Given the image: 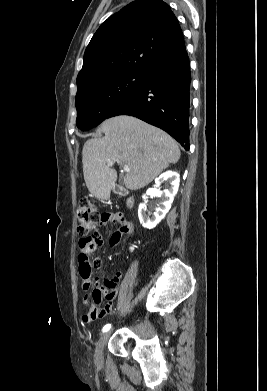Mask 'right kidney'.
I'll list each match as a JSON object with an SVG mask.
<instances>
[{
  "label": "right kidney",
  "instance_id": "1",
  "mask_svg": "<svg viewBox=\"0 0 267 391\" xmlns=\"http://www.w3.org/2000/svg\"><path fill=\"white\" fill-rule=\"evenodd\" d=\"M169 184L166 189L160 190L162 183ZM180 176L177 172L167 171L155 179L156 187L149 188L143 195L144 203H140L138 209L139 221L144 228L152 229L165 217L171 208L174 196L178 192ZM147 196H157L161 198L158 207L153 214L147 213Z\"/></svg>",
  "mask_w": 267,
  "mask_h": 391
}]
</instances>
